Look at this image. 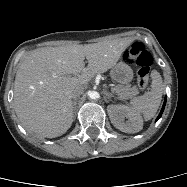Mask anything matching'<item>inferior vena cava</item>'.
<instances>
[{"label":"inferior vena cava","instance_id":"1","mask_svg":"<svg viewBox=\"0 0 187 187\" xmlns=\"http://www.w3.org/2000/svg\"><path fill=\"white\" fill-rule=\"evenodd\" d=\"M83 91H84V87L79 85V86H76L72 91H71V97L72 98H77L79 97L81 94H83Z\"/></svg>","mask_w":187,"mask_h":187}]
</instances>
